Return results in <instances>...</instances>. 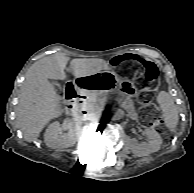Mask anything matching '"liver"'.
I'll use <instances>...</instances> for the list:
<instances>
[{"instance_id":"liver-1","label":"liver","mask_w":194,"mask_h":193,"mask_svg":"<svg viewBox=\"0 0 194 193\" xmlns=\"http://www.w3.org/2000/svg\"><path fill=\"white\" fill-rule=\"evenodd\" d=\"M70 58L53 54L35 62L27 71L17 107V122L28 142L37 140L43 128L62 113L60 96L48 79L65 80V68ZM75 77L108 70L103 59L76 58L70 62Z\"/></svg>"}]
</instances>
